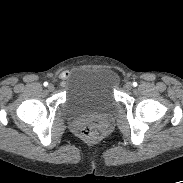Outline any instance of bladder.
Wrapping results in <instances>:
<instances>
[{
    "label": "bladder",
    "mask_w": 183,
    "mask_h": 183,
    "mask_svg": "<svg viewBox=\"0 0 183 183\" xmlns=\"http://www.w3.org/2000/svg\"><path fill=\"white\" fill-rule=\"evenodd\" d=\"M64 111L70 118L88 114H111L117 107L111 74L102 68H86L67 88Z\"/></svg>",
    "instance_id": "1"
}]
</instances>
